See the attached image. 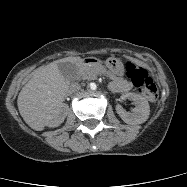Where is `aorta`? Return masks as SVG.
<instances>
[{
	"label": "aorta",
	"mask_w": 187,
	"mask_h": 187,
	"mask_svg": "<svg viewBox=\"0 0 187 187\" xmlns=\"http://www.w3.org/2000/svg\"><path fill=\"white\" fill-rule=\"evenodd\" d=\"M90 88H91V90H96L97 86L95 83H91Z\"/></svg>",
	"instance_id": "1"
}]
</instances>
